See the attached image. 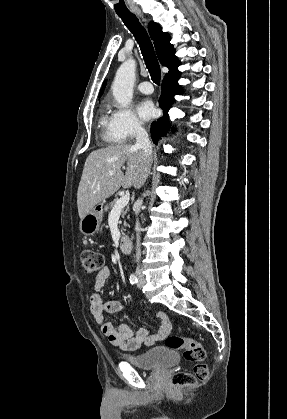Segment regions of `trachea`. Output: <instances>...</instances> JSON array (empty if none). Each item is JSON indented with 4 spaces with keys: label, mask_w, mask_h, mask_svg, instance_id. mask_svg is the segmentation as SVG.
I'll return each mask as SVG.
<instances>
[{
    "label": "trachea",
    "mask_w": 287,
    "mask_h": 419,
    "mask_svg": "<svg viewBox=\"0 0 287 419\" xmlns=\"http://www.w3.org/2000/svg\"><path fill=\"white\" fill-rule=\"evenodd\" d=\"M118 16L122 19L125 26L134 35L137 43L139 44L152 81L157 85H160V66L155 55L152 42L145 28L140 24L138 18L134 14H118Z\"/></svg>",
    "instance_id": "trachea-1"
}]
</instances>
